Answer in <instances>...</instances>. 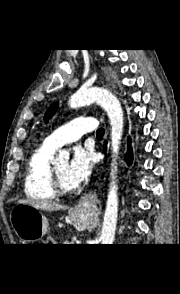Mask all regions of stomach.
I'll list each match as a JSON object with an SVG mask.
<instances>
[{"mask_svg": "<svg viewBox=\"0 0 180 294\" xmlns=\"http://www.w3.org/2000/svg\"><path fill=\"white\" fill-rule=\"evenodd\" d=\"M71 219L83 229L96 225L91 213L87 210L71 211ZM16 235L24 242L33 243L40 240L47 232L48 221L36 208L29 204H16L10 215Z\"/></svg>", "mask_w": 180, "mask_h": 294, "instance_id": "1", "label": "stomach"}]
</instances>
